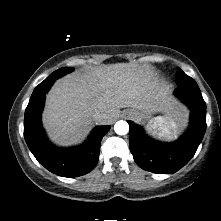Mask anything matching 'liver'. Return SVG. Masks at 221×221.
Returning a JSON list of instances; mask_svg holds the SVG:
<instances>
[{
    "label": "liver",
    "mask_w": 221,
    "mask_h": 221,
    "mask_svg": "<svg viewBox=\"0 0 221 221\" xmlns=\"http://www.w3.org/2000/svg\"><path fill=\"white\" fill-rule=\"evenodd\" d=\"M158 111L182 117L184 109L150 80L148 72L132 63L97 67L75 72L56 81L46 97L43 125L60 146L80 143L99 124H109L120 109ZM96 112L106 114L101 122Z\"/></svg>",
    "instance_id": "obj_1"
}]
</instances>
